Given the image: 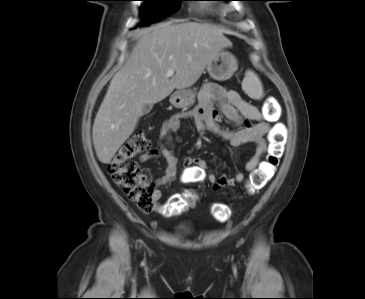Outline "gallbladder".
I'll use <instances>...</instances> for the list:
<instances>
[{
    "label": "gallbladder",
    "instance_id": "obj_1",
    "mask_svg": "<svg viewBox=\"0 0 365 299\" xmlns=\"http://www.w3.org/2000/svg\"><path fill=\"white\" fill-rule=\"evenodd\" d=\"M152 108H153L152 104L144 105L143 110H142V115L148 114L152 110Z\"/></svg>",
    "mask_w": 365,
    "mask_h": 299
}]
</instances>
